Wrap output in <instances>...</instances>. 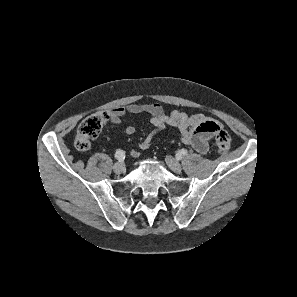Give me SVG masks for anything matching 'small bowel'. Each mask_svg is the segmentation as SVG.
<instances>
[{
	"mask_svg": "<svg viewBox=\"0 0 297 297\" xmlns=\"http://www.w3.org/2000/svg\"><path fill=\"white\" fill-rule=\"evenodd\" d=\"M141 113L148 114L154 126V130L140 143L139 148L141 150L150 149L155 143V137L167 127H171L179 131L180 140L184 144L204 154L208 151L209 140L221 130V126L216 120L204 114L190 115L179 110L166 113L161 105L154 103H133L115 108L111 112V120L114 124H119L122 117ZM135 131V127L131 125L124 127V132L128 136L133 135ZM168 142H173V140ZM131 155L138 157L140 151L133 150Z\"/></svg>",
	"mask_w": 297,
	"mask_h": 297,
	"instance_id": "1",
	"label": "small bowel"
}]
</instances>
